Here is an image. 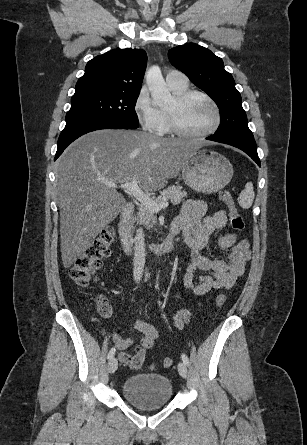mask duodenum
I'll list each match as a JSON object with an SVG mask.
<instances>
[{
  "label": "duodenum",
  "mask_w": 307,
  "mask_h": 445,
  "mask_svg": "<svg viewBox=\"0 0 307 445\" xmlns=\"http://www.w3.org/2000/svg\"><path fill=\"white\" fill-rule=\"evenodd\" d=\"M134 212V206L131 203L126 204L120 214L119 220V237L122 246L125 251L131 252L133 249V236H132V217ZM177 231L171 228L169 234L163 242L158 244H150L149 250L157 256L169 253L173 247L177 236Z\"/></svg>",
  "instance_id": "duodenum-1"
}]
</instances>
